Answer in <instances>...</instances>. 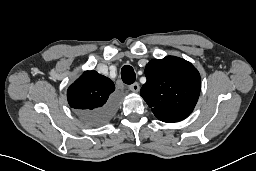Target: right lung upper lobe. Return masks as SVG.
<instances>
[{
    "mask_svg": "<svg viewBox=\"0 0 256 171\" xmlns=\"http://www.w3.org/2000/svg\"><path fill=\"white\" fill-rule=\"evenodd\" d=\"M115 90L114 83L96 71H85L67 91L70 107L82 117L104 107L111 99Z\"/></svg>",
    "mask_w": 256,
    "mask_h": 171,
    "instance_id": "obj_1",
    "label": "right lung upper lobe"
}]
</instances>
